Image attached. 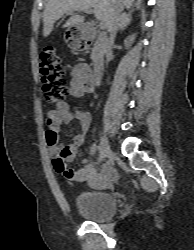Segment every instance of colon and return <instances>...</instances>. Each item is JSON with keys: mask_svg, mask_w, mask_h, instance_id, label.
<instances>
[{"mask_svg": "<svg viewBox=\"0 0 194 250\" xmlns=\"http://www.w3.org/2000/svg\"><path fill=\"white\" fill-rule=\"evenodd\" d=\"M40 68L43 81V91L47 100L64 102L67 93V81L60 66V57L56 49L47 46L40 53Z\"/></svg>", "mask_w": 194, "mask_h": 250, "instance_id": "colon-1", "label": "colon"}]
</instances>
